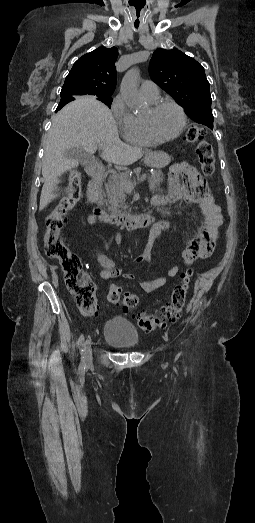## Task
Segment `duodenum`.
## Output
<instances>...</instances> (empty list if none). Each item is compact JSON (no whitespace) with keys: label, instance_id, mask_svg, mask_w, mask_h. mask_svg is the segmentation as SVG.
I'll return each mask as SVG.
<instances>
[{"label":"duodenum","instance_id":"duodenum-1","mask_svg":"<svg viewBox=\"0 0 255 523\" xmlns=\"http://www.w3.org/2000/svg\"><path fill=\"white\" fill-rule=\"evenodd\" d=\"M85 168L86 172L91 177V182L87 191V201L93 207L92 217L95 223H109L122 226L127 230L146 228L154 225L155 218L150 213L139 215H118L107 213L102 206L101 198V182L105 173V166L99 161L90 160ZM152 203L154 205H161L165 203V200L157 197L152 200Z\"/></svg>","mask_w":255,"mask_h":523}]
</instances>
